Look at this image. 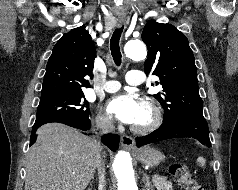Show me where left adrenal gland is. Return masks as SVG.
<instances>
[{
  "mask_svg": "<svg viewBox=\"0 0 238 190\" xmlns=\"http://www.w3.org/2000/svg\"><path fill=\"white\" fill-rule=\"evenodd\" d=\"M143 181L145 184L144 190H154V187L149 180V176L146 173H144V175H143Z\"/></svg>",
  "mask_w": 238,
  "mask_h": 190,
  "instance_id": "a2214340",
  "label": "left adrenal gland"
}]
</instances>
